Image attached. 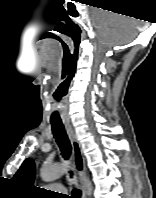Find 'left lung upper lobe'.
Returning <instances> with one entry per match:
<instances>
[{
  "label": "left lung upper lobe",
  "instance_id": "5c2ea615",
  "mask_svg": "<svg viewBox=\"0 0 156 198\" xmlns=\"http://www.w3.org/2000/svg\"><path fill=\"white\" fill-rule=\"evenodd\" d=\"M34 178L35 163L32 159H26L13 177V180L23 185H32Z\"/></svg>",
  "mask_w": 156,
  "mask_h": 198
}]
</instances>
